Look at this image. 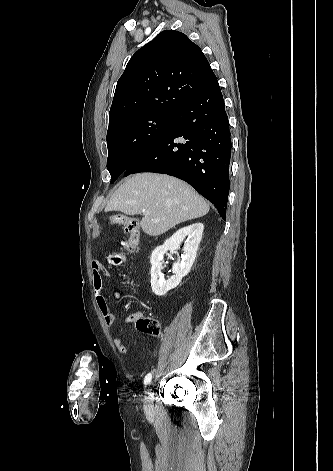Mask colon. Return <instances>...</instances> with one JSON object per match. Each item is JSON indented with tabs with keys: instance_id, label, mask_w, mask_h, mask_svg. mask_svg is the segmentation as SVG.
Returning <instances> with one entry per match:
<instances>
[{
	"instance_id": "colon-1",
	"label": "colon",
	"mask_w": 333,
	"mask_h": 471,
	"mask_svg": "<svg viewBox=\"0 0 333 471\" xmlns=\"http://www.w3.org/2000/svg\"><path fill=\"white\" fill-rule=\"evenodd\" d=\"M112 225L122 226L127 238L122 240L120 251L112 254L110 259L115 264H122L126 255L134 253L139 242V226L135 219L122 215L113 216L110 219ZM137 328L151 336L160 334V323L152 317H140L136 321Z\"/></svg>"
}]
</instances>
